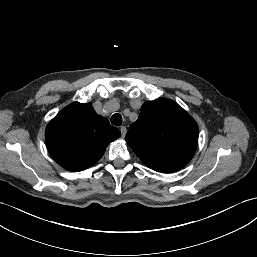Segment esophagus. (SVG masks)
<instances>
[{
    "instance_id": "1",
    "label": "esophagus",
    "mask_w": 257,
    "mask_h": 257,
    "mask_svg": "<svg viewBox=\"0 0 257 257\" xmlns=\"http://www.w3.org/2000/svg\"><path fill=\"white\" fill-rule=\"evenodd\" d=\"M120 131H121V136L124 138L127 133V128L125 126H122L120 128Z\"/></svg>"
}]
</instances>
